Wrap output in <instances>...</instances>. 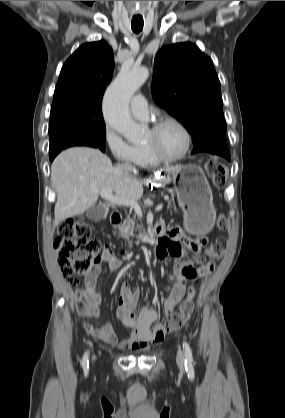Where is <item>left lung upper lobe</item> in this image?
<instances>
[{
    "mask_svg": "<svg viewBox=\"0 0 285 418\" xmlns=\"http://www.w3.org/2000/svg\"><path fill=\"white\" fill-rule=\"evenodd\" d=\"M151 91L154 101L191 134L192 154L230 158L220 82L211 58L195 44L178 43L158 51Z\"/></svg>",
    "mask_w": 285,
    "mask_h": 418,
    "instance_id": "5c2ea615",
    "label": "left lung upper lobe"
}]
</instances>
